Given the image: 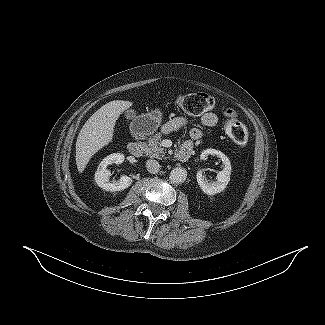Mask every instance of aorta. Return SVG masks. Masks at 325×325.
Wrapping results in <instances>:
<instances>
[{
    "label": "aorta",
    "instance_id": "762f6f07",
    "mask_svg": "<svg viewBox=\"0 0 325 325\" xmlns=\"http://www.w3.org/2000/svg\"><path fill=\"white\" fill-rule=\"evenodd\" d=\"M169 178L172 183H183L187 178V171L181 167L174 168Z\"/></svg>",
    "mask_w": 325,
    "mask_h": 325
}]
</instances>
